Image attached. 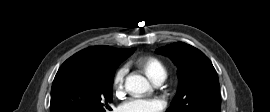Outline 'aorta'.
Here are the masks:
<instances>
[{"instance_id":"1","label":"aorta","mask_w":270,"mask_h":112,"mask_svg":"<svg viewBox=\"0 0 270 112\" xmlns=\"http://www.w3.org/2000/svg\"><path fill=\"white\" fill-rule=\"evenodd\" d=\"M148 80L138 74H132L126 78L125 89L133 94H142L150 90Z\"/></svg>"}]
</instances>
